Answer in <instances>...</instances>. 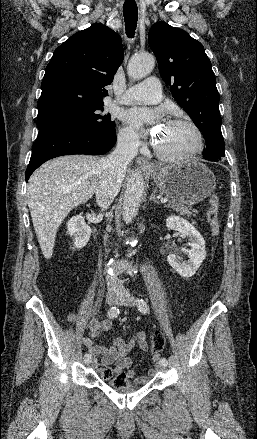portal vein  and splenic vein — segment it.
I'll return each mask as SVG.
<instances>
[{
	"mask_svg": "<svg viewBox=\"0 0 257 439\" xmlns=\"http://www.w3.org/2000/svg\"><path fill=\"white\" fill-rule=\"evenodd\" d=\"M167 201H168L167 198H162V199H161V202H162V203H166Z\"/></svg>",
	"mask_w": 257,
	"mask_h": 439,
	"instance_id": "portal-vein-and-splenic-vein-1",
	"label": "portal vein and splenic vein"
}]
</instances>
